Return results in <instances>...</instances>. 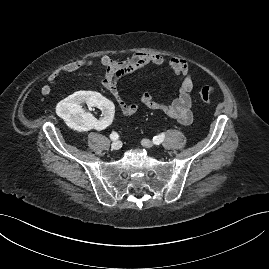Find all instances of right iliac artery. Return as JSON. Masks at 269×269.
<instances>
[{
    "label": "right iliac artery",
    "mask_w": 269,
    "mask_h": 269,
    "mask_svg": "<svg viewBox=\"0 0 269 269\" xmlns=\"http://www.w3.org/2000/svg\"><path fill=\"white\" fill-rule=\"evenodd\" d=\"M110 138H111L112 140H117V139L119 138V135H118V133H116V132H112V133L110 134Z\"/></svg>",
    "instance_id": "right-iliac-artery-1"
}]
</instances>
